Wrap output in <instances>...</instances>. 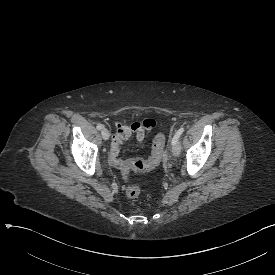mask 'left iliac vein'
I'll use <instances>...</instances> for the list:
<instances>
[{
  "mask_svg": "<svg viewBox=\"0 0 275 275\" xmlns=\"http://www.w3.org/2000/svg\"><path fill=\"white\" fill-rule=\"evenodd\" d=\"M180 152H181L180 145L177 141L175 144L172 145V154L174 156H179Z\"/></svg>",
  "mask_w": 275,
  "mask_h": 275,
  "instance_id": "1",
  "label": "left iliac vein"
}]
</instances>
